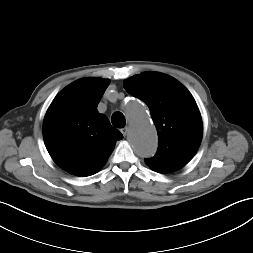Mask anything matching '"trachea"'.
Instances as JSON below:
<instances>
[{
	"mask_svg": "<svg viewBox=\"0 0 253 253\" xmlns=\"http://www.w3.org/2000/svg\"><path fill=\"white\" fill-rule=\"evenodd\" d=\"M111 122L116 128H122L126 123L125 117L121 112H115L111 117Z\"/></svg>",
	"mask_w": 253,
	"mask_h": 253,
	"instance_id": "3493384b",
	"label": "trachea"
}]
</instances>
